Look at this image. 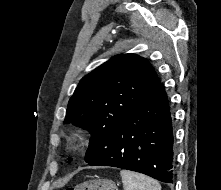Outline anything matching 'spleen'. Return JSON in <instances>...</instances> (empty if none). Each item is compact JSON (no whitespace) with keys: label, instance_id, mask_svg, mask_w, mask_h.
Segmentation results:
<instances>
[{"label":"spleen","instance_id":"obj_1","mask_svg":"<svg viewBox=\"0 0 221 190\" xmlns=\"http://www.w3.org/2000/svg\"><path fill=\"white\" fill-rule=\"evenodd\" d=\"M124 190H161L160 184L145 175L133 171L120 172Z\"/></svg>","mask_w":221,"mask_h":190}]
</instances>
